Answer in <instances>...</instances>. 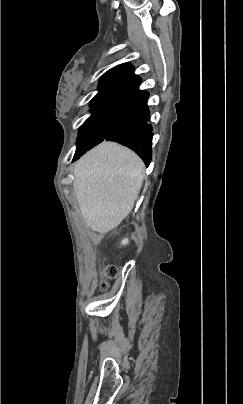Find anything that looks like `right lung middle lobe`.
<instances>
[{
	"mask_svg": "<svg viewBox=\"0 0 243 404\" xmlns=\"http://www.w3.org/2000/svg\"><path fill=\"white\" fill-rule=\"evenodd\" d=\"M92 107V115L79 129L77 149L73 161L79 159L85 152L105 139L113 123L127 107V104L105 103Z\"/></svg>",
	"mask_w": 243,
	"mask_h": 404,
	"instance_id": "1",
	"label": "right lung middle lobe"
}]
</instances>
